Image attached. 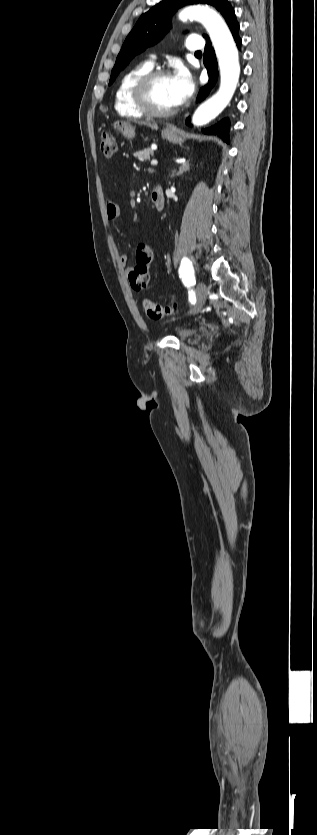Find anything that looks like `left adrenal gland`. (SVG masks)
<instances>
[{
    "label": "left adrenal gland",
    "instance_id": "1",
    "mask_svg": "<svg viewBox=\"0 0 317 835\" xmlns=\"http://www.w3.org/2000/svg\"><path fill=\"white\" fill-rule=\"evenodd\" d=\"M189 170H190V164H189V161H187V162H184V163L181 164V166L179 167L177 172L173 171L171 176L172 177L173 176H178V175H181L184 172L189 171Z\"/></svg>",
    "mask_w": 317,
    "mask_h": 835
}]
</instances>
